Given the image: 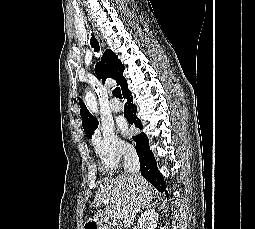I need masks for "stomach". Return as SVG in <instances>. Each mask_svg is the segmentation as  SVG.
Instances as JSON below:
<instances>
[{
	"mask_svg": "<svg viewBox=\"0 0 255 229\" xmlns=\"http://www.w3.org/2000/svg\"><path fill=\"white\" fill-rule=\"evenodd\" d=\"M94 223L95 229H105L103 226L96 224L95 222H91Z\"/></svg>",
	"mask_w": 255,
	"mask_h": 229,
	"instance_id": "0dacf381",
	"label": "stomach"
}]
</instances>
